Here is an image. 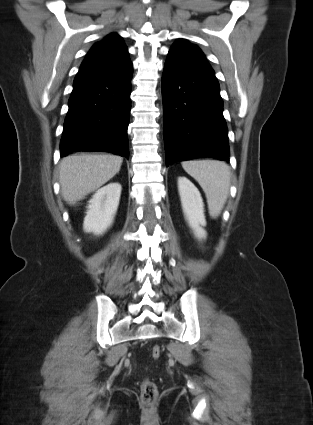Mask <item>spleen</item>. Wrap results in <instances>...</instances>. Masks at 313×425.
<instances>
[{
  "instance_id": "1",
  "label": "spleen",
  "mask_w": 313,
  "mask_h": 425,
  "mask_svg": "<svg viewBox=\"0 0 313 425\" xmlns=\"http://www.w3.org/2000/svg\"><path fill=\"white\" fill-rule=\"evenodd\" d=\"M183 169L198 181L207 198L209 214L217 218L221 213L229 194L230 168L216 160L182 162Z\"/></svg>"
}]
</instances>
